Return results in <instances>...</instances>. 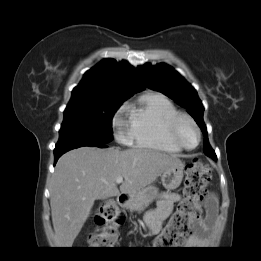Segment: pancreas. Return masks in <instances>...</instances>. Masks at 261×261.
Returning a JSON list of instances; mask_svg holds the SVG:
<instances>
[{
    "label": "pancreas",
    "instance_id": "pancreas-1",
    "mask_svg": "<svg viewBox=\"0 0 261 261\" xmlns=\"http://www.w3.org/2000/svg\"><path fill=\"white\" fill-rule=\"evenodd\" d=\"M137 210H138V212L140 213L141 211L144 210V208L142 207V208H139V209H137Z\"/></svg>",
    "mask_w": 261,
    "mask_h": 261
}]
</instances>
